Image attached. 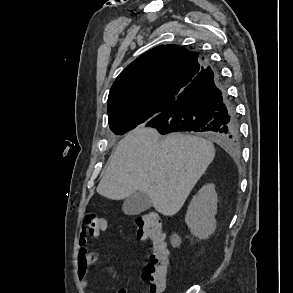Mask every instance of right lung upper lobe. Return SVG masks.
Listing matches in <instances>:
<instances>
[{
    "label": "right lung upper lobe",
    "instance_id": "right-lung-upper-lobe-1",
    "mask_svg": "<svg viewBox=\"0 0 293 293\" xmlns=\"http://www.w3.org/2000/svg\"><path fill=\"white\" fill-rule=\"evenodd\" d=\"M206 65L197 52L177 45H160L144 53L114 82L108 97L109 118L137 110H154V118L173 104Z\"/></svg>",
    "mask_w": 293,
    "mask_h": 293
}]
</instances>
